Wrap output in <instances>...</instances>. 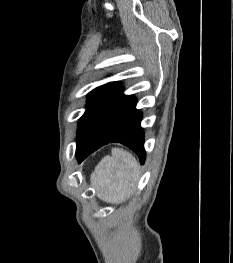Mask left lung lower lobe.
I'll list each match as a JSON object with an SVG mask.
<instances>
[{
	"label": "left lung lower lobe",
	"mask_w": 233,
	"mask_h": 263,
	"mask_svg": "<svg viewBox=\"0 0 233 263\" xmlns=\"http://www.w3.org/2000/svg\"><path fill=\"white\" fill-rule=\"evenodd\" d=\"M135 106V97L124 95L121 89L101 114L86 145L76 149L79 162L101 146L116 142L129 147L144 164V132L140 126L142 113Z\"/></svg>",
	"instance_id": "0a47b994"
}]
</instances>
